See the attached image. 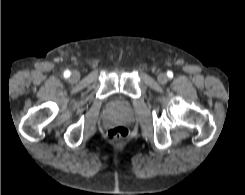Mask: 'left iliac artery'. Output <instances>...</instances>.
Wrapping results in <instances>:
<instances>
[{
  "instance_id": "1",
  "label": "left iliac artery",
  "mask_w": 245,
  "mask_h": 195,
  "mask_svg": "<svg viewBox=\"0 0 245 195\" xmlns=\"http://www.w3.org/2000/svg\"><path fill=\"white\" fill-rule=\"evenodd\" d=\"M167 75H168V77H172L173 76V73L171 72V71H169L168 73H167Z\"/></svg>"
}]
</instances>
